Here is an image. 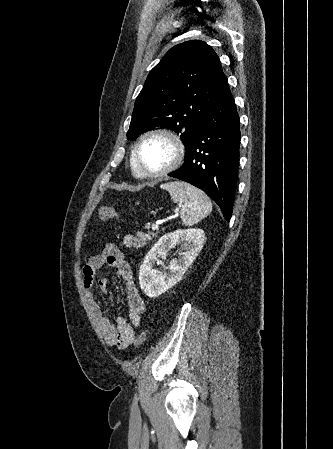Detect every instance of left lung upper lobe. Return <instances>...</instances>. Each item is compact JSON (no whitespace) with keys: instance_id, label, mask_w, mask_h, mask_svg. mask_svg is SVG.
<instances>
[{"instance_id":"5c2ea615","label":"left lung upper lobe","mask_w":333,"mask_h":449,"mask_svg":"<svg viewBox=\"0 0 333 449\" xmlns=\"http://www.w3.org/2000/svg\"><path fill=\"white\" fill-rule=\"evenodd\" d=\"M227 83L219 57L204 41L174 46L149 73L127 138L135 140L146 130L166 127L180 135L187 152L207 109Z\"/></svg>"}]
</instances>
